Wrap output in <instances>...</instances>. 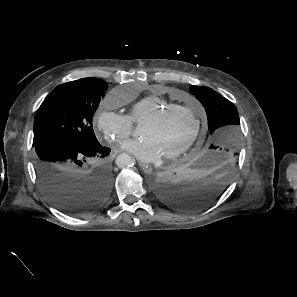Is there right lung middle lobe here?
Returning <instances> with one entry per match:
<instances>
[{"label": "right lung middle lobe", "instance_id": "dd1d6c3e", "mask_svg": "<svg viewBox=\"0 0 297 297\" xmlns=\"http://www.w3.org/2000/svg\"><path fill=\"white\" fill-rule=\"evenodd\" d=\"M107 88L108 85L98 78L57 86L36 113L33 144L56 137L87 146L97 144L92 118Z\"/></svg>", "mask_w": 297, "mask_h": 297}]
</instances>
